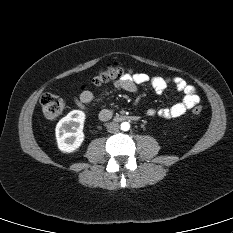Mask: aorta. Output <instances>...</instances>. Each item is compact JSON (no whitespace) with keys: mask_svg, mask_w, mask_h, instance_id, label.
<instances>
[{"mask_svg":"<svg viewBox=\"0 0 233 233\" xmlns=\"http://www.w3.org/2000/svg\"><path fill=\"white\" fill-rule=\"evenodd\" d=\"M130 129V124L128 122L121 123V130L128 131Z\"/></svg>","mask_w":233,"mask_h":233,"instance_id":"obj_1","label":"aorta"}]
</instances>
